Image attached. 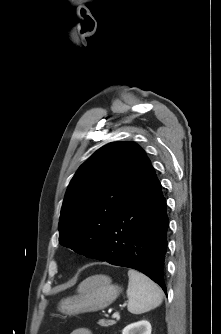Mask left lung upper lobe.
Masks as SVG:
<instances>
[{
    "label": "left lung upper lobe",
    "instance_id": "1",
    "mask_svg": "<svg viewBox=\"0 0 221 334\" xmlns=\"http://www.w3.org/2000/svg\"><path fill=\"white\" fill-rule=\"evenodd\" d=\"M151 166L130 141L97 150L77 170L67 189L59 221L60 244L99 258L107 230L129 194Z\"/></svg>",
    "mask_w": 221,
    "mask_h": 334
}]
</instances>
